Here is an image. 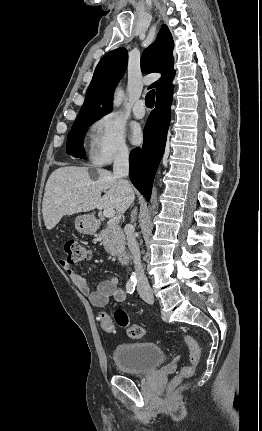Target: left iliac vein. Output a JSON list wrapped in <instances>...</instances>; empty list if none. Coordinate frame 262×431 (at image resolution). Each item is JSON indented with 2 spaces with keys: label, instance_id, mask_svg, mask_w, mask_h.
<instances>
[{
  "label": "left iliac vein",
  "instance_id": "4c4485c4",
  "mask_svg": "<svg viewBox=\"0 0 262 431\" xmlns=\"http://www.w3.org/2000/svg\"><path fill=\"white\" fill-rule=\"evenodd\" d=\"M142 296V298L147 302V303H149V304H153V302H154V299H153V296L151 295L150 297H145V296H143V295H141Z\"/></svg>",
  "mask_w": 262,
  "mask_h": 431
}]
</instances>
